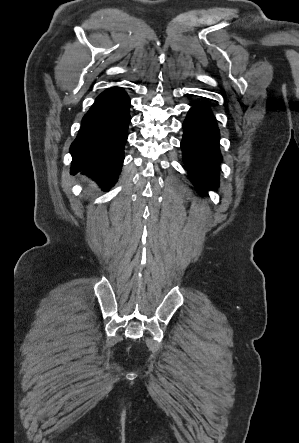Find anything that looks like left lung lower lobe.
Masks as SVG:
<instances>
[{"label": "left lung lower lobe", "mask_w": 299, "mask_h": 443, "mask_svg": "<svg viewBox=\"0 0 299 443\" xmlns=\"http://www.w3.org/2000/svg\"><path fill=\"white\" fill-rule=\"evenodd\" d=\"M181 142L183 160L201 194L218 187L221 154L219 130L211 110L205 104L193 106L183 124Z\"/></svg>", "instance_id": "left-lung-lower-lobe-1"}]
</instances>
